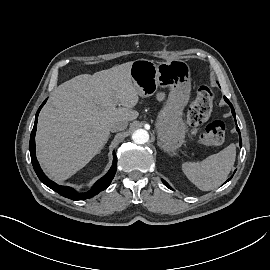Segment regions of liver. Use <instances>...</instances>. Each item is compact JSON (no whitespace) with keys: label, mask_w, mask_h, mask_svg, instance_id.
<instances>
[{"label":"liver","mask_w":270,"mask_h":270,"mask_svg":"<svg viewBox=\"0 0 270 270\" xmlns=\"http://www.w3.org/2000/svg\"><path fill=\"white\" fill-rule=\"evenodd\" d=\"M131 65L81 74L54 90L51 104L39 115L36 134L37 158L50 178L61 182L74 175L101 151L114 122L138 117Z\"/></svg>","instance_id":"6515ba94"}]
</instances>
